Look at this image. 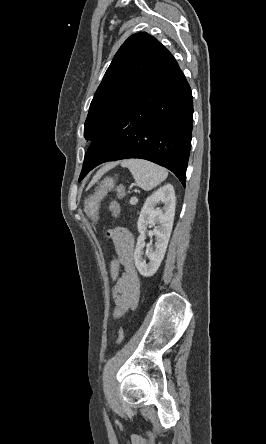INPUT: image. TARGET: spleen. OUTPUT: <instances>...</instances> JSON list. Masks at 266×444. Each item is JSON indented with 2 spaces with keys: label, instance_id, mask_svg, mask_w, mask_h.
Here are the masks:
<instances>
[{
  "label": "spleen",
  "instance_id": "spleen-1",
  "mask_svg": "<svg viewBox=\"0 0 266 444\" xmlns=\"http://www.w3.org/2000/svg\"><path fill=\"white\" fill-rule=\"evenodd\" d=\"M121 165L130 170L135 183L145 191L152 190L168 176L164 168L143 159L124 160Z\"/></svg>",
  "mask_w": 266,
  "mask_h": 444
}]
</instances>
